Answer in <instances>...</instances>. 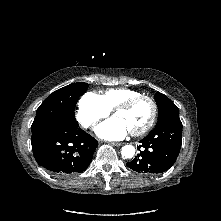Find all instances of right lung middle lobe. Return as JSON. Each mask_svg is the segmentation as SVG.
<instances>
[{
  "mask_svg": "<svg viewBox=\"0 0 221 221\" xmlns=\"http://www.w3.org/2000/svg\"><path fill=\"white\" fill-rule=\"evenodd\" d=\"M88 86L85 82H77L53 92L37 109L31 130L43 122L58 116L66 117L76 122L74 116L75 106L77 100L86 92Z\"/></svg>",
  "mask_w": 221,
  "mask_h": 221,
  "instance_id": "1",
  "label": "right lung middle lobe"
}]
</instances>
